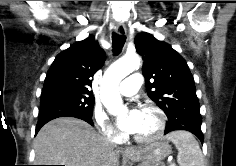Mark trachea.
Returning a JSON list of instances; mask_svg holds the SVG:
<instances>
[{
    "label": "trachea",
    "instance_id": "1",
    "mask_svg": "<svg viewBox=\"0 0 236 166\" xmlns=\"http://www.w3.org/2000/svg\"><path fill=\"white\" fill-rule=\"evenodd\" d=\"M125 36H121L115 32L112 33V46L114 54L118 55L124 46Z\"/></svg>",
    "mask_w": 236,
    "mask_h": 166
}]
</instances>
